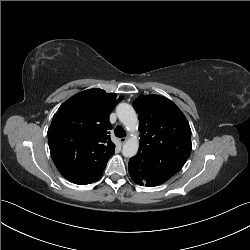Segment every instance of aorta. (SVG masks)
<instances>
[{
    "instance_id": "aorta-1",
    "label": "aorta",
    "mask_w": 250,
    "mask_h": 250,
    "mask_svg": "<svg viewBox=\"0 0 250 250\" xmlns=\"http://www.w3.org/2000/svg\"><path fill=\"white\" fill-rule=\"evenodd\" d=\"M118 119L131 132L138 127V118L134 108L127 103H120L116 108ZM139 142L136 135H132L123 145L122 154L125 157H133L137 154Z\"/></svg>"
}]
</instances>
